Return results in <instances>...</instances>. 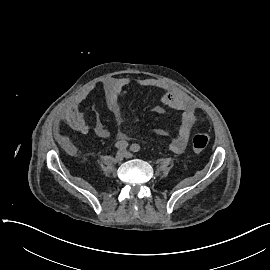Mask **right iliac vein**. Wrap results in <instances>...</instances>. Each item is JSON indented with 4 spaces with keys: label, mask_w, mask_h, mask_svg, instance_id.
<instances>
[{
    "label": "right iliac vein",
    "mask_w": 270,
    "mask_h": 270,
    "mask_svg": "<svg viewBox=\"0 0 270 270\" xmlns=\"http://www.w3.org/2000/svg\"><path fill=\"white\" fill-rule=\"evenodd\" d=\"M126 157V153L124 150H119L115 156L117 162H121Z\"/></svg>",
    "instance_id": "1"
}]
</instances>
